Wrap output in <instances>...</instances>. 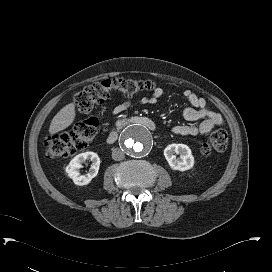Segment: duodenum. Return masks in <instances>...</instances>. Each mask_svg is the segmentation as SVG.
Segmentation results:
<instances>
[{"mask_svg":"<svg viewBox=\"0 0 272 272\" xmlns=\"http://www.w3.org/2000/svg\"><path fill=\"white\" fill-rule=\"evenodd\" d=\"M134 122L133 119H124L117 126H115L107 135L106 141L108 144H113L117 141L120 131L123 127L128 126ZM145 127L154 131L156 129L155 124L152 121H143Z\"/></svg>","mask_w":272,"mask_h":272,"instance_id":"duodenum-1","label":"duodenum"}]
</instances>
